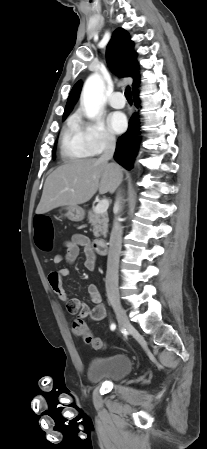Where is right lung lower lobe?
Instances as JSON below:
<instances>
[{
    "instance_id": "obj_1",
    "label": "right lung lower lobe",
    "mask_w": 207,
    "mask_h": 449,
    "mask_svg": "<svg viewBox=\"0 0 207 449\" xmlns=\"http://www.w3.org/2000/svg\"><path fill=\"white\" fill-rule=\"evenodd\" d=\"M138 90L133 91V99L135 106L138 107L139 100ZM139 115L134 113L129 121V127L117 141L114 159L126 169L130 170L133 167L134 158L139 149Z\"/></svg>"
}]
</instances>
